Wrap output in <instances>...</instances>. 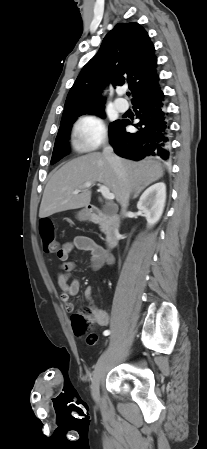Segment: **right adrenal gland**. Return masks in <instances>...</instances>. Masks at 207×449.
<instances>
[{"instance_id":"2a0ac1e0","label":"right adrenal gland","mask_w":207,"mask_h":449,"mask_svg":"<svg viewBox=\"0 0 207 449\" xmlns=\"http://www.w3.org/2000/svg\"><path fill=\"white\" fill-rule=\"evenodd\" d=\"M139 193H140V191H136L135 194H134V196H133V199L137 198L138 195H139Z\"/></svg>"}]
</instances>
